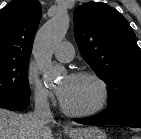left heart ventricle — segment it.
Wrapping results in <instances>:
<instances>
[{
    "instance_id": "1",
    "label": "left heart ventricle",
    "mask_w": 141,
    "mask_h": 139,
    "mask_svg": "<svg viewBox=\"0 0 141 139\" xmlns=\"http://www.w3.org/2000/svg\"><path fill=\"white\" fill-rule=\"evenodd\" d=\"M64 89L63 103L72 110H88L96 106L101 97L98 84L90 78L64 77L58 84Z\"/></svg>"
}]
</instances>
